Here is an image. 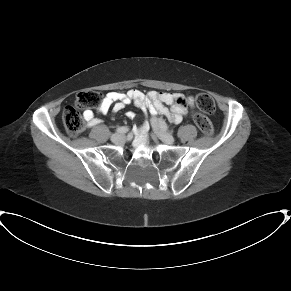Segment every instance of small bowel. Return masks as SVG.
<instances>
[{
	"label": "small bowel",
	"mask_w": 291,
	"mask_h": 291,
	"mask_svg": "<svg viewBox=\"0 0 291 291\" xmlns=\"http://www.w3.org/2000/svg\"><path fill=\"white\" fill-rule=\"evenodd\" d=\"M130 103L135 104L139 108L148 109L152 116L157 114L169 116L174 123H179L187 110L193 109L195 104L193 97L181 94L159 93L155 91L143 93L139 90H129L127 92L113 91L106 94L99 112L107 114L112 111L115 114ZM165 105H171V109H168ZM127 116L134 119L136 114L130 111L127 113ZM83 117L88 128H93L100 123L99 118L90 109L83 111ZM140 140L143 141V136L140 137Z\"/></svg>",
	"instance_id": "1"
}]
</instances>
